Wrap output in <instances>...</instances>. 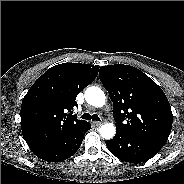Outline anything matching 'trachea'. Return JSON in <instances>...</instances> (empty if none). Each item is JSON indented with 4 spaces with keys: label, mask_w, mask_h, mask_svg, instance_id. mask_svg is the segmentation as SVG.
Wrapping results in <instances>:
<instances>
[{
    "label": "trachea",
    "mask_w": 184,
    "mask_h": 184,
    "mask_svg": "<svg viewBox=\"0 0 184 184\" xmlns=\"http://www.w3.org/2000/svg\"><path fill=\"white\" fill-rule=\"evenodd\" d=\"M82 119H85V120H93V121H100V118L98 117L97 114H90V113H84L82 116H81Z\"/></svg>",
    "instance_id": "trachea-1"
}]
</instances>
